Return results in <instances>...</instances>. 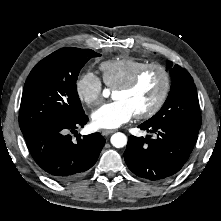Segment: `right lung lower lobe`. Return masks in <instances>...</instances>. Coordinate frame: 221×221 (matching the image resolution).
Masks as SVG:
<instances>
[{
	"label": "right lung lower lobe",
	"instance_id": "obj_1",
	"mask_svg": "<svg viewBox=\"0 0 221 221\" xmlns=\"http://www.w3.org/2000/svg\"><path fill=\"white\" fill-rule=\"evenodd\" d=\"M87 121L83 114L73 121L50 122L23 134L33 160L47 176L70 182L85 175L95 164L106 140L100 133L78 135L76 129Z\"/></svg>",
	"mask_w": 221,
	"mask_h": 221
}]
</instances>
